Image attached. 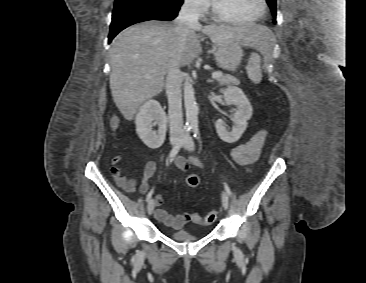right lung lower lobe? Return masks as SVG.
Masks as SVG:
<instances>
[{
    "mask_svg": "<svg viewBox=\"0 0 366 283\" xmlns=\"http://www.w3.org/2000/svg\"><path fill=\"white\" fill-rule=\"evenodd\" d=\"M181 5L169 6L163 0H115L109 42L130 25L148 20L174 19Z\"/></svg>",
    "mask_w": 366,
    "mask_h": 283,
    "instance_id": "right-lung-lower-lobe-1",
    "label": "right lung lower lobe"
}]
</instances>
